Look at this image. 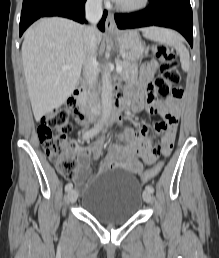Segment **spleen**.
<instances>
[{
	"mask_svg": "<svg viewBox=\"0 0 219 258\" xmlns=\"http://www.w3.org/2000/svg\"><path fill=\"white\" fill-rule=\"evenodd\" d=\"M143 35L149 40L174 47L179 53L182 68L189 69V51L176 32L160 27H149L143 30Z\"/></svg>",
	"mask_w": 219,
	"mask_h": 258,
	"instance_id": "1",
	"label": "spleen"
}]
</instances>
